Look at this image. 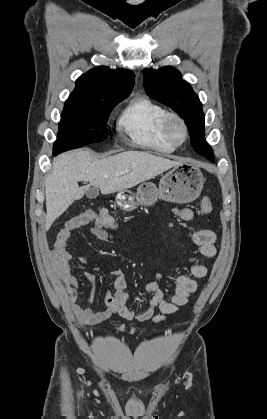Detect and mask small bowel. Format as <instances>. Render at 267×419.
Masks as SVG:
<instances>
[{"instance_id": "1", "label": "small bowel", "mask_w": 267, "mask_h": 419, "mask_svg": "<svg viewBox=\"0 0 267 419\" xmlns=\"http://www.w3.org/2000/svg\"><path fill=\"white\" fill-rule=\"evenodd\" d=\"M175 214L184 221H193L195 214L188 208H176ZM91 225V232L103 241H111L115 239L114 235L104 228L97 214L94 211L88 210L81 213L69 221L59 230L56 242L50 252L53 270L57 278L63 283L67 296V302L72 309L77 321L81 325H95L106 321L115 314L127 319L146 321L152 320L155 323L164 321L167 316L177 312L184 305L187 304L188 299L192 293L197 290V279L207 276L208 268L201 263H197L196 257L202 256L212 258L216 255V235L209 229H196L192 236V242L197 246L193 255L189 257L188 274H176L170 276L164 273L157 274V280L150 282L146 286V290L152 293V297L148 306L141 312L136 313L127 305L129 294L127 292V282L125 273L116 269L111 272L114 276L112 289H108L105 295L106 309L102 311H95L89 308V304L94 297L95 278L92 273L84 272L85 278L91 284V290L85 305L78 303V280L73 274L71 262L73 257L69 252V240L71 234L78 228ZM79 262L83 264L89 263L86 258H79ZM168 279L172 282L174 287V294L166 298L164 292L160 288L159 281ZM160 311L155 314V310Z\"/></svg>"}]
</instances>
